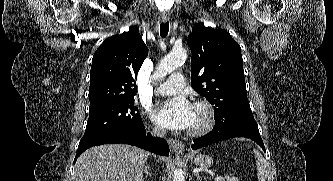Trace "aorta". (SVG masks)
I'll return each mask as SVG.
<instances>
[{
  "instance_id": "obj_1",
  "label": "aorta",
  "mask_w": 333,
  "mask_h": 181,
  "mask_svg": "<svg viewBox=\"0 0 333 181\" xmlns=\"http://www.w3.org/2000/svg\"><path fill=\"white\" fill-rule=\"evenodd\" d=\"M187 59V52L185 49H178L172 51L164 59H162L153 75L154 79H162L169 73L176 70ZM173 181H185L184 174L181 169H175Z\"/></svg>"
}]
</instances>
